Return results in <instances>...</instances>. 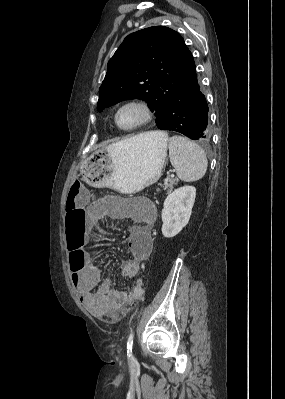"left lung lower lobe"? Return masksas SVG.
Instances as JSON below:
<instances>
[{"mask_svg":"<svg viewBox=\"0 0 285 399\" xmlns=\"http://www.w3.org/2000/svg\"><path fill=\"white\" fill-rule=\"evenodd\" d=\"M159 129L180 132L193 140L209 139L208 105L196 72L175 91L165 123Z\"/></svg>","mask_w":285,"mask_h":399,"instance_id":"obj_1","label":"left lung lower lobe"}]
</instances>
